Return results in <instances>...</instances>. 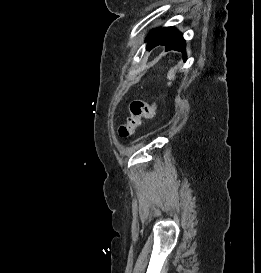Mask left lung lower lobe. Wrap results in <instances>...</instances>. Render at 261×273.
Listing matches in <instances>:
<instances>
[{
	"mask_svg": "<svg viewBox=\"0 0 261 273\" xmlns=\"http://www.w3.org/2000/svg\"><path fill=\"white\" fill-rule=\"evenodd\" d=\"M157 45H165L166 51H181L184 55V59L186 58L185 40L183 39L182 34L174 27L159 28L148 35L147 49L151 50Z\"/></svg>",
	"mask_w": 261,
	"mask_h": 273,
	"instance_id": "0a47b994",
	"label": "left lung lower lobe"
}]
</instances>
